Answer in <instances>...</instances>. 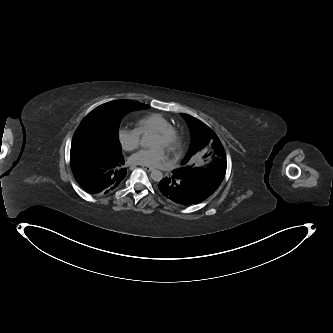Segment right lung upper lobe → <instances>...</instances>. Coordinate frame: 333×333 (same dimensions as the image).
<instances>
[{
	"label": "right lung upper lobe",
	"mask_w": 333,
	"mask_h": 333,
	"mask_svg": "<svg viewBox=\"0 0 333 333\" xmlns=\"http://www.w3.org/2000/svg\"><path fill=\"white\" fill-rule=\"evenodd\" d=\"M142 106H147V105H144V104H142V103H140ZM148 108H149V106H147ZM142 109H145V107H143ZM93 145V144H92Z\"/></svg>",
	"instance_id": "obj_1"
}]
</instances>
